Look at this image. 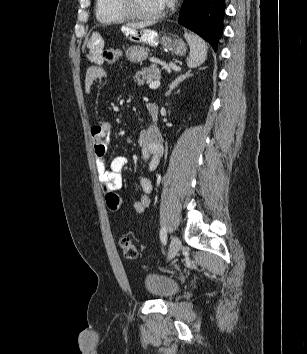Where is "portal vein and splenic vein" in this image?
<instances>
[{"label": "portal vein and splenic vein", "mask_w": 307, "mask_h": 354, "mask_svg": "<svg viewBox=\"0 0 307 354\" xmlns=\"http://www.w3.org/2000/svg\"><path fill=\"white\" fill-rule=\"evenodd\" d=\"M160 80H159V78L158 79H156V80H154V81H152L150 84H149V88L150 89H157L159 86H160Z\"/></svg>", "instance_id": "portal-vein-and-splenic-vein-1"}]
</instances>
